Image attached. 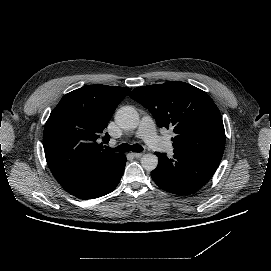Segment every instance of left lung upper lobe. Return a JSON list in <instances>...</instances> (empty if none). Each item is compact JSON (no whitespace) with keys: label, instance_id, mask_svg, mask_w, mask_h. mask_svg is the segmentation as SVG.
<instances>
[{"label":"left lung upper lobe","instance_id":"obj_1","mask_svg":"<svg viewBox=\"0 0 271 271\" xmlns=\"http://www.w3.org/2000/svg\"><path fill=\"white\" fill-rule=\"evenodd\" d=\"M129 96L147 108L157 125L174 127L173 147L224 151L222 116L209 95L185 82L135 88Z\"/></svg>","mask_w":271,"mask_h":271}]
</instances>
